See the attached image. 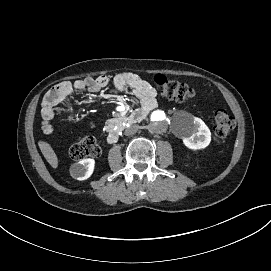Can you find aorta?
<instances>
[{
    "label": "aorta",
    "instance_id": "762f6f07",
    "mask_svg": "<svg viewBox=\"0 0 271 271\" xmlns=\"http://www.w3.org/2000/svg\"><path fill=\"white\" fill-rule=\"evenodd\" d=\"M146 116L147 128L153 134H160L168 128V114L159 108H147L144 110Z\"/></svg>",
    "mask_w": 271,
    "mask_h": 271
}]
</instances>
